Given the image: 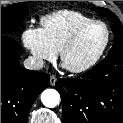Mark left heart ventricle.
I'll list each match as a JSON object with an SVG mask.
<instances>
[{
    "label": "left heart ventricle",
    "mask_w": 123,
    "mask_h": 123,
    "mask_svg": "<svg viewBox=\"0 0 123 123\" xmlns=\"http://www.w3.org/2000/svg\"><path fill=\"white\" fill-rule=\"evenodd\" d=\"M106 39L105 29L101 25L88 28L78 39L66 56V65L79 67L91 61L103 46Z\"/></svg>",
    "instance_id": "b2bd125f"
}]
</instances>
